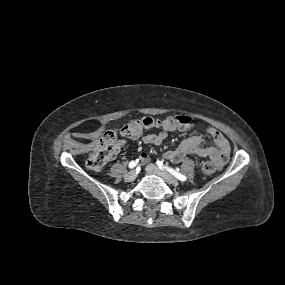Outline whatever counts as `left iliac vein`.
Wrapping results in <instances>:
<instances>
[{
    "instance_id": "1",
    "label": "left iliac vein",
    "mask_w": 285,
    "mask_h": 285,
    "mask_svg": "<svg viewBox=\"0 0 285 285\" xmlns=\"http://www.w3.org/2000/svg\"><path fill=\"white\" fill-rule=\"evenodd\" d=\"M146 171L150 174H154L157 176H160L162 179H164L168 184L172 185H178L179 182L177 179H175L172 175L167 173L166 171L161 170L154 164H148L146 166Z\"/></svg>"
}]
</instances>
